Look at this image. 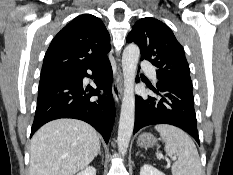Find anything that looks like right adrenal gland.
<instances>
[{
  "label": "right adrenal gland",
  "mask_w": 233,
  "mask_h": 175,
  "mask_svg": "<svg viewBox=\"0 0 233 175\" xmlns=\"http://www.w3.org/2000/svg\"><path fill=\"white\" fill-rule=\"evenodd\" d=\"M98 155H100V156L102 155L100 147H99Z\"/></svg>",
  "instance_id": "2a0ac1e0"
}]
</instances>
